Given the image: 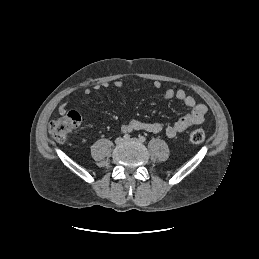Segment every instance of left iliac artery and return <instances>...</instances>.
I'll return each mask as SVG.
<instances>
[{"label": "left iliac artery", "mask_w": 259, "mask_h": 259, "mask_svg": "<svg viewBox=\"0 0 259 259\" xmlns=\"http://www.w3.org/2000/svg\"><path fill=\"white\" fill-rule=\"evenodd\" d=\"M139 140H140L141 142H145L146 138H145L144 136H140V137H139Z\"/></svg>", "instance_id": "obj_1"}]
</instances>
